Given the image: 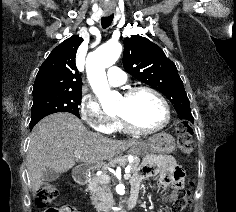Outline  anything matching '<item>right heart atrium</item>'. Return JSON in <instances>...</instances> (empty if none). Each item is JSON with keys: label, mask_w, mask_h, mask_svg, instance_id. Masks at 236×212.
Instances as JSON below:
<instances>
[{"label": "right heart atrium", "mask_w": 236, "mask_h": 212, "mask_svg": "<svg viewBox=\"0 0 236 212\" xmlns=\"http://www.w3.org/2000/svg\"><path fill=\"white\" fill-rule=\"evenodd\" d=\"M79 112L83 121L93 130L109 133L113 117L107 115L99 101L90 94L82 97L79 104Z\"/></svg>", "instance_id": "right-heart-atrium-1"}]
</instances>
